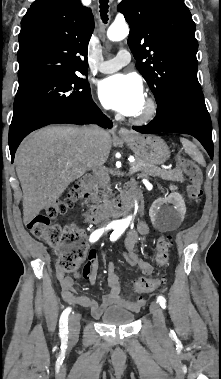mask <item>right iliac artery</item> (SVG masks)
<instances>
[{
  "label": "right iliac artery",
  "mask_w": 221,
  "mask_h": 379,
  "mask_svg": "<svg viewBox=\"0 0 221 379\" xmlns=\"http://www.w3.org/2000/svg\"><path fill=\"white\" fill-rule=\"evenodd\" d=\"M118 227H119L118 224L111 223V224L107 225L104 228L97 229V230H95L90 235L89 240H90L91 243L96 242L101 237V235L104 233L105 230H108V229H117ZM70 312H71V308L68 307L61 314L60 321H59V327H60L61 337H65L67 335V333H68V330H67V328H68L67 319H68V316H69Z\"/></svg>",
  "instance_id": "obj_1"
}]
</instances>
